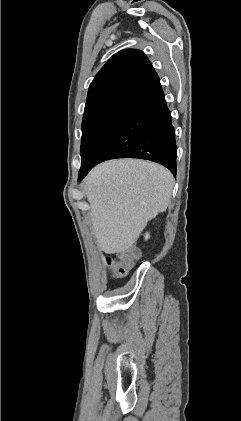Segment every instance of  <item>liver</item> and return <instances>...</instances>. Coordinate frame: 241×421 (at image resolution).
I'll list each match as a JSON object with an SVG mask.
<instances>
[{"mask_svg": "<svg viewBox=\"0 0 241 421\" xmlns=\"http://www.w3.org/2000/svg\"><path fill=\"white\" fill-rule=\"evenodd\" d=\"M174 177L144 160L119 159L91 170L84 182L98 247L107 254L129 250L148 221L166 211Z\"/></svg>", "mask_w": 241, "mask_h": 421, "instance_id": "6515ba94", "label": "liver"}]
</instances>
